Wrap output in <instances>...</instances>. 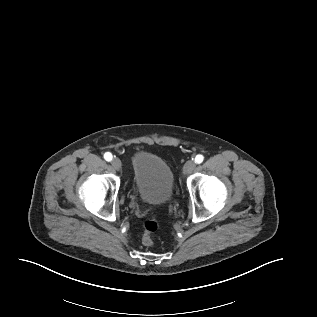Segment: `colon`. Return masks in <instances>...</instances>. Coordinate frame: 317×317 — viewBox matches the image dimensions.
Here are the masks:
<instances>
[{
    "mask_svg": "<svg viewBox=\"0 0 317 317\" xmlns=\"http://www.w3.org/2000/svg\"><path fill=\"white\" fill-rule=\"evenodd\" d=\"M158 223L154 217L147 220L144 224V233L142 242L146 246H151L154 244L153 233L157 230Z\"/></svg>",
    "mask_w": 317,
    "mask_h": 317,
    "instance_id": "1",
    "label": "colon"
}]
</instances>
